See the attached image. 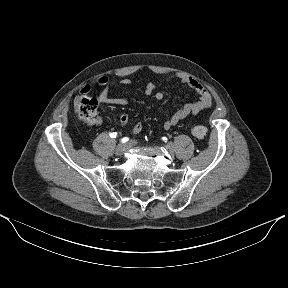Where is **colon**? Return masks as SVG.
<instances>
[{
    "label": "colon",
    "mask_w": 288,
    "mask_h": 288,
    "mask_svg": "<svg viewBox=\"0 0 288 288\" xmlns=\"http://www.w3.org/2000/svg\"><path fill=\"white\" fill-rule=\"evenodd\" d=\"M74 110L84 122L96 124L98 121V106L95 98L81 94L74 100ZM207 128L203 125L192 124L191 133L196 138L202 139L207 135Z\"/></svg>",
    "instance_id": "5ec220e1"
}]
</instances>
